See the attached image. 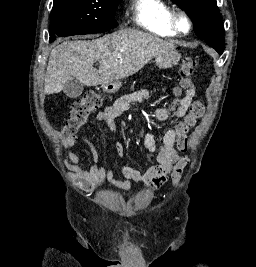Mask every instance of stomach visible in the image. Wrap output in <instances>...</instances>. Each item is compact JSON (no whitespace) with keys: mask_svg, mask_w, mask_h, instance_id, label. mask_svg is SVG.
Segmentation results:
<instances>
[{"mask_svg":"<svg viewBox=\"0 0 256 267\" xmlns=\"http://www.w3.org/2000/svg\"><path fill=\"white\" fill-rule=\"evenodd\" d=\"M181 56L175 48H172V50H167V52H162V54H158L155 58V62L158 66V68H161V70H165V68H172V66H175L177 62H179Z\"/></svg>","mask_w":256,"mask_h":267,"instance_id":"0dacf381","label":"stomach"}]
</instances>
